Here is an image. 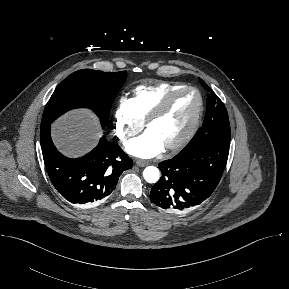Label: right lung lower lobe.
<instances>
[{
    "mask_svg": "<svg viewBox=\"0 0 289 289\" xmlns=\"http://www.w3.org/2000/svg\"><path fill=\"white\" fill-rule=\"evenodd\" d=\"M41 148L47 173L56 190L69 202L94 205L114 190L119 176L132 167L122 149L106 140L77 159L63 156L54 146L50 125L41 128Z\"/></svg>",
    "mask_w": 289,
    "mask_h": 289,
    "instance_id": "right-lung-lower-lobe-1",
    "label": "right lung lower lobe"
}]
</instances>
